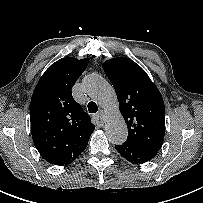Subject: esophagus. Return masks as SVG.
<instances>
[{
	"label": "esophagus",
	"mask_w": 203,
	"mask_h": 203,
	"mask_svg": "<svg viewBox=\"0 0 203 203\" xmlns=\"http://www.w3.org/2000/svg\"><path fill=\"white\" fill-rule=\"evenodd\" d=\"M97 117L100 119V120H104V117H105V113L103 110H99V112L97 113Z\"/></svg>",
	"instance_id": "obj_1"
}]
</instances>
